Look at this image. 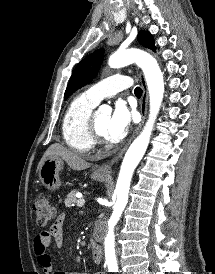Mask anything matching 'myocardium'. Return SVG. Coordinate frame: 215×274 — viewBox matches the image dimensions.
<instances>
[{
    "mask_svg": "<svg viewBox=\"0 0 215 274\" xmlns=\"http://www.w3.org/2000/svg\"><path fill=\"white\" fill-rule=\"evenodd\" d=\"M88 132L94 142H101L104 139V136L97 129L95 115L92 113L88 118Z\"/></svg>",
    "mask_w": 215,
    "mask_h": 274,
    "instance_id": "myocardium-1",
    "label": "myocardium"
}]
</instances>
